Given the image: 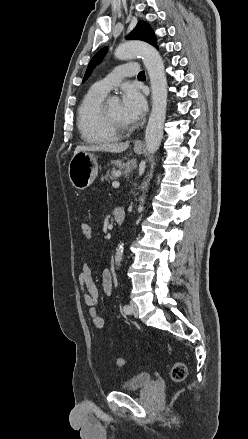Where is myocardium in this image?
Wrapping results in <instances>:
<instances>
[{"mask_svg":"<svg viewBox=\"0 0 248 439\" xmlns=\"http://www.w3.org/2000/svg\"><path fill=\"white\" fill-rule=\"evenodd\" d=\"M101 118L108 129L118 134L129 132L132 129L130 124H122L115 121L107 110V104L102 105Z\"/></svg>","mask_w":248,"mask_h":439,"instance_id":"myocardium-1","label":"myocardium"}]
</instances>
